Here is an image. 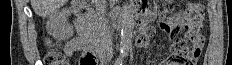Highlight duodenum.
<instances>
[{
    "mask_svg": "<svg viewBox=\"0 0 232 65\" xmlns=\"http://www.w3.org/2000/svg\"><path fill=\"white\" fill-rule=\"evenodd\" d=\"M75 13L77 15L76 26L86 36L88 50L91 52H100L106 44V39L96 31L92 11L84 7L80 2H76ZM140 26L142 29L147 28L146 22L143 19Z\"/></svg>",
    "mask_w": 232,
    "mask_h": 65,
    "instance_id": "duodenum-1",
    "label": "duodenum"
}]
</instances>
